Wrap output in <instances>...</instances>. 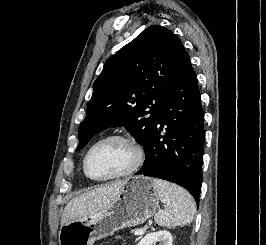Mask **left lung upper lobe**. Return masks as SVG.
Masks as SVG:
<instances>
[{
	"label": "left lung upper lobe",
	"instance_id": "1",
	"mask_svg": "<svg viewBox=\"0 0 266 245\" xmlns=\"http://www.w3.org/2000/svg\"><path fill=\"white\" fill-rule=\"evenodd\" d=\"M189 59L180 39L159 25L125 45L93 84L76 151L97 133L116 126H124L145 150L159 108Z\"/></svg>",
	"mask_w": 266,
	"mask_h": 245
}]
</instances>
